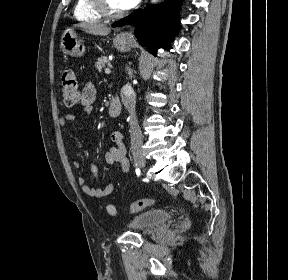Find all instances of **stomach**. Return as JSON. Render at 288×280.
Wrapping results in <instances>:
<instances>
[{"label":"stomach","instance_id":"0dacf381","mask_svg":"<svg viewBox=\"0 0 288 280\" xmlns=\"http://www.w3.org/2000/svg\"><path fill=\"white\" fill-rule=\"evenodd\" d=\"M113 45L122 52H127L131 49V42L121 35H117L113 39ZM61 48L63 52L72 57H80L85 53V45L77 36L73 29L64 31L61 37Z\"/></svg>","mask_w":288,"mask_h":280}]
</instances>
